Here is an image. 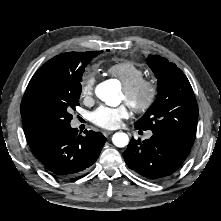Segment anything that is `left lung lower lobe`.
I'll return each instance as SVG.
<instances>
[{"label": "left lung lower lobe", "instance_id": "0a47b994", "mask_svg": "<svg viewBox=\"0 0 221 221\" xmlns=\"http://www.w3.org/2000/svg\"><path fill=\"white\" fill-rule=\"evenodd\" d=\"M190 151L191 148L173 139L153 133L150 139L143 142L132 139L123 157L131 170L146 179L158 181L174 174Z\"/></svg>", "mask_w": 221, "mask_h": 221}]
</instances>
